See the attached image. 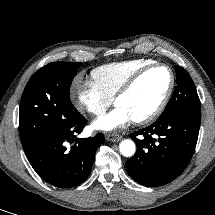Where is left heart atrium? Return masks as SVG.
Returning <instances> with one entry per match:
<instances>
[{"instance_id": "39dd6f15", "label": "left heart atrium", "mask_w": 215, "mask_h": 215, "mask_svg": "<svg viewBox=\"0 0 215 215\" xmlns=\"http://www.w3.org/2000/svg\"><path fill=\"white\" fill-rule=\"evenodd\" d=\"M133 121V116L125 107L116 106L110 112L97 118L92 123V128L104 132H113L125 128Z\"/></svg>"}]
</instances>
